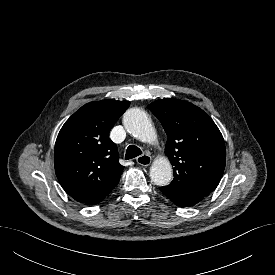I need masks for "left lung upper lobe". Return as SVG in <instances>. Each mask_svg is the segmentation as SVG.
<instances>
[{"label":"left lung upper lobe","mask_w":275,"mask_h":275,"mask_svg":"<svg viewBox=\"0 0 275 275\" xmlns=\"http://www.w3.org/2000/svg\"><path fill=\"white\" fill-rule=\"evenodd\" d=\"M148 108L167 134L165 154L174 166V179L163 188L170 193H211L226 163L225 143L214 121L194 104L173 98L157 100Z\"/></svg>","instance_id":"1"}]
</instances>
